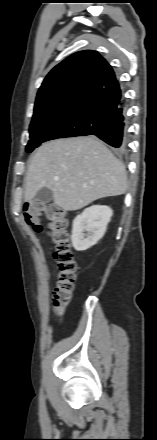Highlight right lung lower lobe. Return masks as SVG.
Wrapping results in <instances>:
<instances>
[{
	"label": "right lung lower lobe",
	"mask_w": 157,
	"mask_h": 440,
	"mask_svg": "<svg viewBox=\"0 0 157 440\" xmlns=\"http://www.w3.org/2000/svg\"><path fill=\"white\" fill-rule=\"evenodd\" d=\"M86 125L89 135H96L119 150L125 149L127 144V120L123 100L117 108L103 112Z\"/></svg>",
	"instance_id": "98d812e1"
}]
</instances>
